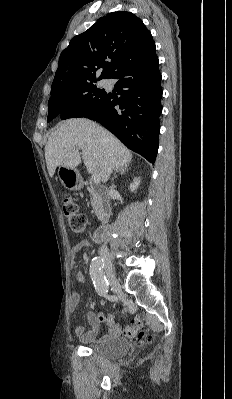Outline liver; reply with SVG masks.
I'll return each instance as SVG.
<instances>
[{"instance_id":"obj_1","label":"liver","mask_w":232,"mask_h":399,"mask_svg":"<svg viewBox=\"0 0 232 399\" xmlns=\"http://www.w3.org/2000/svg\"><path fill=\"white\" fill-rule=\"evenodd\" d=\"M79 150H82V154ZM81 156L88 174H98L104 184L108 182L113 170L130 164L132 160L130 150L96 122L85 118L60 122L45 146L50 178H53L57 166L76 170Z\"/></svg>"}]
</instances>
